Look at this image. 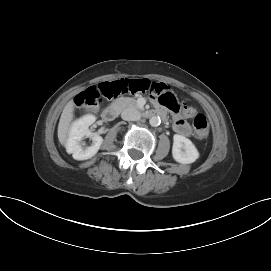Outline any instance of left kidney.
<instances>
[{
  "instance_id": "left-kidney-1",
  "label": "left kidney",
  "mask_w": 271,
  "mask_h": 271,
  "mask_svg": "<svg viewBox=\"0 0 271 271\" xmlns=\"http://www.w3.org/2000/svg\"><path fill=\"white\" fill-rule=\"evenodd\" d=\"M172 156L181 164H190L199 158V152L192 141L182 135L173 136Z\"/></svg>"
}]
</instances>
